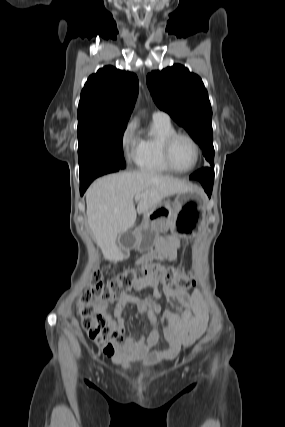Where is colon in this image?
Here are the masks:
<instances>
[{"label":"colon","mask_w":285,"mask_h":427,"mask_svg":"<svg viewBox=\"0 0 285 427\" xmlns=\"http://www.w3.org/2000/svg\"><path fill=\"white\" fill-rule=\"evenodd\" d=\"M161 277L166 286H177L189 290L195 286L191 272L166 267L159 262L142 261L134 268L126 269L108 281H104L99 271H94L85 292L78 301V313L82 327L106 352L120 341V336L107 326L105 319L97 313L94 302H107L128 291L141 275Z\"/></svg>","instance_id":"5ec220e1"}]
</instances>
